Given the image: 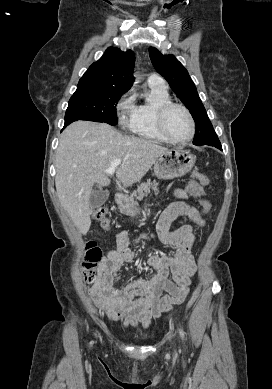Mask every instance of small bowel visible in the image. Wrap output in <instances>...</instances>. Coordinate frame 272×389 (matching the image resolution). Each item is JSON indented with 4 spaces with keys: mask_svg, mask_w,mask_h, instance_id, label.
<instances>
[{
    "mask_svg": "<svg viewBox=\"0 0 272 389\" xmlns=\"http://www.w3.org/2000/svg\"><path fill=\"white\" fill-rule=\"evenodd\" d=\"M190 195L188 190H176L175 196L180 200L169 204L158 220L157 234L161 242L179 248L174 256H148L147 264L157 271L151 279L115 286L123 265L133 262L137 256L129 248L125 232L117 235L116 248L108 251L100 261L98 275L89 294L110 322L121 321L126 328L140 324L148 328L152 319L169 312L173 304L181 303L188 295L191 277L196 272L191 253L195 242L194 225H205L200 212L183 201ZM182 216L190 222L170 231L172 222Z\"/></svg>",
    "mask_w": 272,
    "mask_h": 389,
    "instance_id": "obj_1",
    "label": "small bowel"
}]
</instances>
